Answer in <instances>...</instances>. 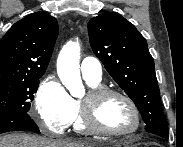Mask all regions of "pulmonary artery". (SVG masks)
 Here are the masks:
<instances>
[{
	"instance_id": "obj_1",
	"label": "pulmonary artery",
	"mask_w": 183,
	"mask_h": 147,
	"mask_svg": "<svg viewBox=\"0 0 183 147\" xmlns=\"http://www.w3.org/2000/svg\"><path fill=\"white\" fill-rule=\"evenodd\" d=\"M83 78L90 83L99 84L102 80V66L98 59L86 57L81 62Z\"/></svg>"
}]
</instances>
